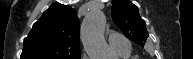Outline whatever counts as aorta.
<instances>
[{
  "mask_svg": "<svg viewBox=\"0 0 193 59\" xmlns=\"http://www.w3.org/2000/svg\"><path fill=\"white\" fill-rule=\"evenodd\" d=\"M106 17L100 10L90 12L82 24L84 47L91 59H114L104 39Z\"/></svg>",
  "mask_w": 193,
  "mask_h": 59,
  "instance_id": "1",
  "label": "aorta"
}]
</instances>
